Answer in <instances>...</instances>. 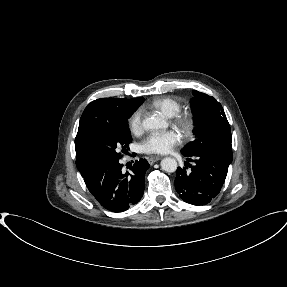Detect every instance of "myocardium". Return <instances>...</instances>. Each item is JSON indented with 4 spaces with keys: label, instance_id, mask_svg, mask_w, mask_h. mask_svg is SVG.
<instances>
[{
    "label": "myocardium",
    "instance_id": "1",
    "mask_svg": "<svg viewBox=\"0 0 287 287\" xmlns=\"http://www.w3.org/2000/svg\"><path fill=\"white\" fill-rule=\"evenodd\" d=\"M174 122L185 133L191 132L194 127V120L190 114L177 115Z\"/></svg>",
    "mask_w": 287,
    "mask_h": 287
}]
</instances>
